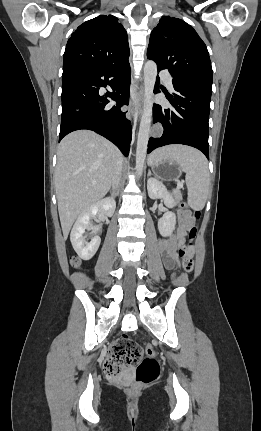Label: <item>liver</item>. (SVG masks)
<instances>
[{
    "label": "liver",
    "instance_id": "liver-1",
    "mask_svg": "<svg viewBox=\"0 0 261 431\" xmlns=\"http://www.w3.org/2000/svg\"><path fill=\"white\" fill-rule=\"evenodd\" d=\"M122 160L119 149L93 131L78 130L62 139L55 189L64 239L77 217L107 194Z\"/></svg>",
    "mask_w": 261,
    "mask_h": 431
}]
</instances>
